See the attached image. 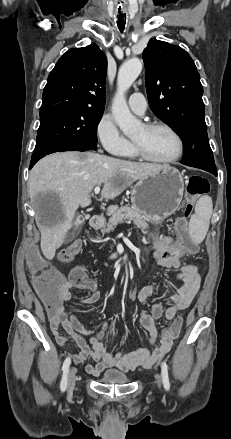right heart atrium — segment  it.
Instances as JSON below:
<instances>
[{"label": "right heart atrium", "instance_id": "d8ad5b80", "mask_svg": "<svg viewBox=\"0 0 231 439\" xmlns=\"http://www.w3.org/2000/svg\"><path fill=\"white\" fill-rule=\"evenodd\" d=\"M95 133L98 141L109 154L124 156L131 147L130 142L121 134L115 120L109 114L101 116Z\"/></svg>", "mask_w": 231, "mask_h": 439}]
</instances>
